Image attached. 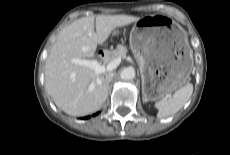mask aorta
I'll use <instances>...</instances> for the list:
<instances>
[{
	"label": "aorta",
	"instance_id": "obj_1",
	"mask_svg": "<svg viewBox=\"0 0 230 155\" xmlns=\"http://www.w3.org/2000/svg\"><path fill=\"white\" fill-rule=\"evenodd\" d=\"M120 77L122 80H133L135 78V70L132 67L124 68L121 73Z\"/></svg>",
	"mask_w": 230,
	"mask_h": 155
}]
</instances>
